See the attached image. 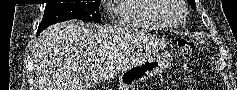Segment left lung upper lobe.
<instances>
[{"label": "left lung upper lobe", "instance_id": "5c2ea615", "mask_svg": "<svg viewBox=\"0 0 237 90\" xmlns=\"http://www.w3.org/2000/svg\"><path fill=\"white\" fill-rule=\"evenodd\" d=\"M188 2L194 9L196 8L195 0H188Z\"/></svg>", "mask_w": 237, "mask_h": 90}]
</instances>
